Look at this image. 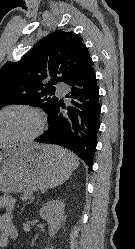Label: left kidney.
<instances>
[{
    "instance_id": "1",
    "label": "left kidney",
    "mask_w": 135,
    "mask_h": 249,
    "mask_svg": "<svg viewBox=\"0 0 135 249\" xmlns=\"http://www.w3.org/2000/svg\"><path fill=\"white\" fill-rule=\"evenodd\" d=\"M65 204L60 200H52L42 206L39 211L40 217L47 221L49 225V234L54 236L61 228L64 220Z\"/></svg>"
}]
</instances>
